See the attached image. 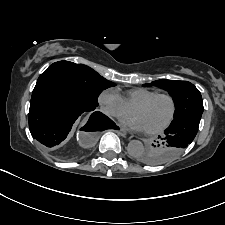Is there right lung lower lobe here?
Returning a JSON list of instances; mask_svg holds the SVG:
<instances>
[{
    "mask_svg": "<svg viewBox=\"0 0 225 225\" xmlns=\"http://www.w3.org/2000/svg\"><path fill=\"white\" fill-rule=\"evenodd\" d=\"M98 106V105H97ZM90 103L71 82L56 75H40L32 91L29 129L34 139L46 148H58L82 113H92L89 130L113 128L114 123ZM85 125V127L88 125Z\"/></svg>",
    "mask_w": 225,
    "mask_h": 225,
    "instance_id": "right-lung-lower-lobe-1",
    "label": "right lung lower lobe"
}]
</instances>
